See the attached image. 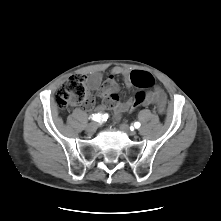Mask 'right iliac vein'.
<instances>
[{
  "mask_svg": "<svg viewBox=\"0 0 221 221\" xmlns=\"http://www.w3.org/2000/svg\"><path fill=\"white\" fill-rule=\"evenodd\" d=\"M97 123L95 122H91L87 125L86 127V131L89 133V134H93L96 130H97Z\"/></svg>",
  "mask_w": 221,
  "mask_h": 221,
  "instance_id": "1",
  "label": "right iliac vein"
}]
</instances>
